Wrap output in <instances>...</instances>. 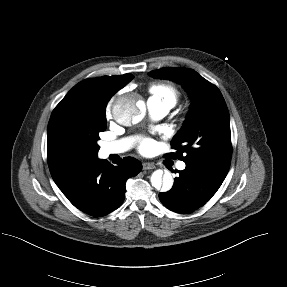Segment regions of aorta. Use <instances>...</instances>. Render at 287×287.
<instances>
[{"label": "aorta", "mask_w": 287, "mask_h": 287, "mask_svg": "<svg viewBox=\"0 0 287 287\" xmlns=\"http://www.w3.org/2000/svg\"><path fill=\"white\" fill-rule=\"evenodd\" d=\"M145 105L139 96L129 94L120 97L113 106L114 119L122 125L138 123L144 116ZM152 186L163 192L169 191L173 186V177L169 171L158 169L150 178Z\"/></svg>", "instance_id": "762f6f07"}]
</instances>
